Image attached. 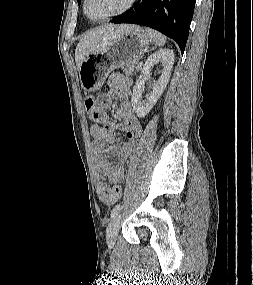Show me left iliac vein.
Returning a JSON list of instances; mask_svg holds the SVG:
<instances>
[{"mask_svg":"<svg viewBox=\"0 0 253 285\" xmlns=\"http://www.w3.org/2000/svg\"><path fill=\"white\" fill-rule=\"evenodd\" d=\"M121 214L118 213L109 223L106 233L108 246L112 247L116 243L118 232L120 229Z\"/></svg>","mask_w":253,"mask_h":285,"instance_id":"4c4485c4","label":"left iliac vein"}]
</instances>
